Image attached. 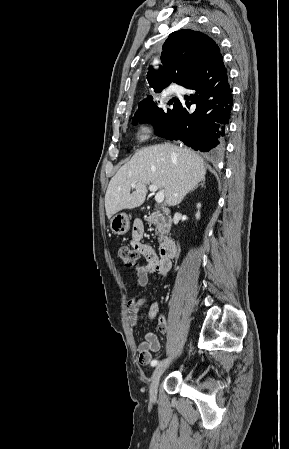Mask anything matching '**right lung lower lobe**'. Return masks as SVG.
<instances>
[{
	"mask_svg": "<svg viewBox=\"0 0 289 449\" xmlns=\"http://www.w3.org/2000/svg\"><path fill=\"white\" fill-rule=\"evenodd\" d=\"M184 87L193 93L186 102L177 100L170 123L158 135L168 140H181L195 150L216 154L224 147L233 105L227 70L223 65L210 78ZM193 104L196 109L191 112Z\"/></svg>",
	"mask_w": 289,
	"mask_h": 449,
	"instance_id": "98d812e1",
	"label": "right lung lower lobe"
}]
</instances>
